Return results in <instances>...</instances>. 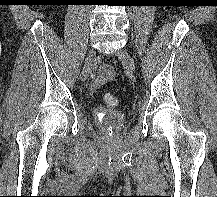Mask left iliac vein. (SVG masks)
I'll list each match as a JSON object with an SVG mask.
<instances>
[{
    "instance_id": "1",
    "label": "left iliac vein",
    "mask_w": 217,
    "mask_h": 197,
    "mask_svg": "<svg viewBox=\"0 0 217 197\" xmlns=\"http://www.w3.org/2000/svg\"><path fill=\"white\" fill-rule=\"evenodd\" d=\"M118 58L121 62L128 68V70L133 73L135 71V62L129 53L125 50H120L117 53Z\"/></svg>"
}]
</instances>
